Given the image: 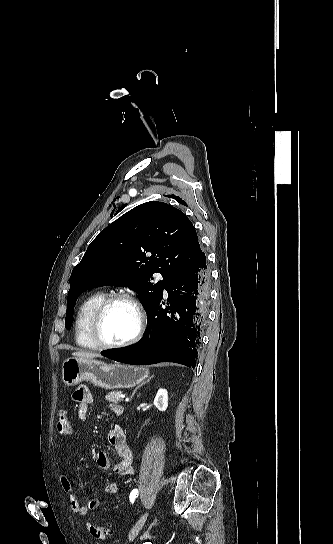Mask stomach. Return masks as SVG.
<instances>
[{"instance_id": "stomach-1", "label": "stomach", "mask_w": 333, "mask_h": 544, "mask_svg": "<svg viewBox=\"0 0 333 544\" xmlns=\"http://www.w3.org/2000/svg\"><path fill=\"white\" fill-rule=\"evenodd\" d=\"M149 375L146 367L106 364L93 359L68 358L62 364V381L67 386L89 381L104 389L130 388Z\"/></svg>"}]
</instances>
